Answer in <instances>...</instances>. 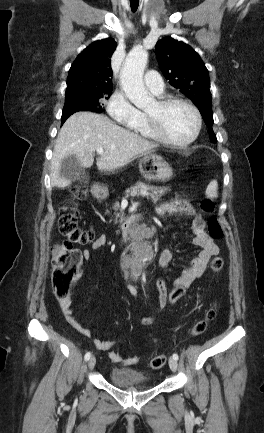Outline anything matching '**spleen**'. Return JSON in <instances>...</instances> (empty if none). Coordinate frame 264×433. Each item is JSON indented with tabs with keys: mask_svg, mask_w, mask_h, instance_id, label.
Wrapping results in <instances>:
<instances>
[{
	"mask_svg": "<svg viewBox=\"0 0 264 433\" xmlns=\"http://www.w3.org/2000/svg\"><path fill=\"white\" fill-rule=\"evenodd\" d=\"M218 183L217 180H213L209 183L206 189V194L210 198L217 197Z\"/></svg>",
	"mask_w": 264,
	"mask_h": 433,
	"instance_id": "spleen-1",
	"label": "spleen"
}]
</instances>
